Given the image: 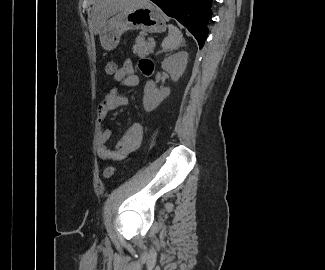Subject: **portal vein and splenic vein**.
I'll return each instance as SVG.
<instances>
[{"mask_svg": "<svg viewBox=\"0 0 325 270\" xmlns=\"http://www.w3.org/2000/svg\"><path fill=\"white\" fill-rule=\"evenodd\" d=\"M151 42H152V46L154 47V46H155V41H154V39H151Z\"/></svg>", "mask_w": 325, "mask_h": 270, "instance_id": "18ae733b", "label": "portal vein and splenic vein"}]
</instances>
